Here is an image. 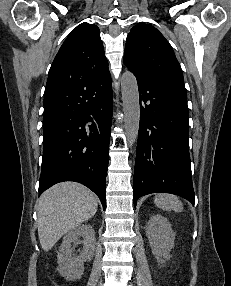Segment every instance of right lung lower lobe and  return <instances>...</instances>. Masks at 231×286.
I'll use <instances>...</instances> for the list:
<instances>
[{"instance_id": "98d812e1", "label": "right lung lower lobe", "mask_w": 231, "mask_h": 286, "mask_svg": "<svg viewBox=\"0 0 231 286\" xmlns=\"http://www.w3.org/2000/svg\"><path fill=\"white\" fill-rule=\"evenodd\" d=\"M112 105L109 74L80 84L44 113L39 194L58 182L75 181L95 192L105 208Z\"/></svg>"}]
</instances>
